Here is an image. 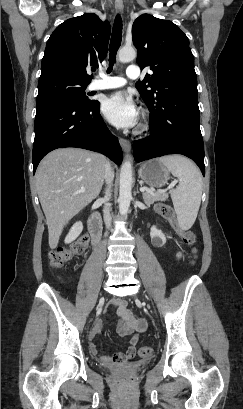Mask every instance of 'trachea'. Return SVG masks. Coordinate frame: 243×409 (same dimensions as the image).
I'll return each mask as SVG.
<instances>
[{"label":"trachea","instance_id":"1","mask_svg":"<svg viewBox=\"0 0 243 409\" xmlns=\"http://www.w3.org/2000/svg\"><path fill=\"white\" fill-rule=\"evenodd\" d=\"M122 41V19L120 15H117L114 21L113 25V30H112V36H111V41H110V46H109V68L107 70V73H110L113 68V64L116 61V54L117 51L121 45Z\"/></svg>","mask_w":243,"mask_h":409}]
</instances>
